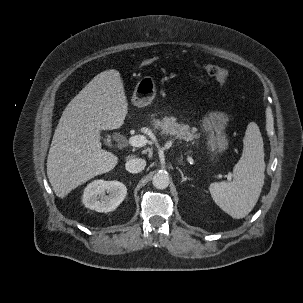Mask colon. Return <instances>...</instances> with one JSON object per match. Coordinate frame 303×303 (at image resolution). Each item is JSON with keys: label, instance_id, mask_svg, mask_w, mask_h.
<instances>
[{"label": "colon", "instance_id": "1", "mask_svg": "<svg viewBox=\"0 0 303 303\" xmlns=\"http://www.w3.org/2000/svg\"><path fill=\"white\" fill-rule=\"evenodd\" d=\"M154 62H155V58H149V59L144 60L141 63V66L148 67V66H151ZM201 69L207 75H209L210 77L215 79L222 86L227 84V82L229 80L227 71L219 66L212 65V64H205V65L201 66Z\"/></svg>", "mask_w": 303, "mask_h": 303}]
</instances>
